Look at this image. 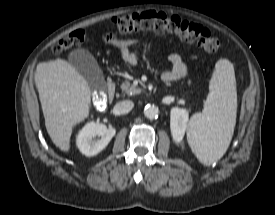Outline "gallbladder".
Wrapping results in <instances>:
<instances>
[{
	"label": "gallbladder",
	"instance_id": "1",
	"mask_svg": "<svg viewBox=\"0 0 275 215\" xmlns=\"http://www.w3.org/2000/svg\"><path fill=\"white\" fill-rule=\"evenodd\" d=\"M68 60L85 78L91 90H102L105 88L106 82L102 70L89 51L76 49L69 54Z\"/></svg>",
	"mask_w": 275,
	"mask_h": 215
}]
</instances>
